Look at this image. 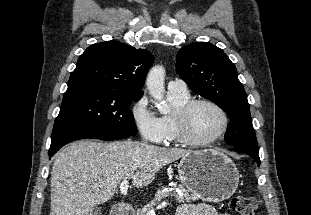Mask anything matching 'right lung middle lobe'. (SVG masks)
Returning a JSON list of instances; mask_svg holds the SVG:
<instances>
[{
  "instance_id": "dd1d6c3e",
  "label": "right lung middle lobe",
  "mask_w": 311,
  "mask_h": 215,
  "mask_svg": "<svg viewBox=\"0 0 311 215\" xmlns=\"http://www.w3.org/2000/svg\"><path fill=\"white\" fill-rule=\"evenodd\" d=\"M142 95L91 85L68 87L54 123L52 139L93 132L136 135L129 106Z\"/></svg>"
}]
</instances>
